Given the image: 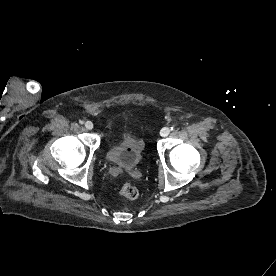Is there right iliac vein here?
Listing matches in <instances>:
<instances>
[{
	"label": "right iliac vein",
	"instance_id": "1",
	"mask_svg": "<svg viewBox=\"0 0 276 276\" xmlns=\"http://www.w3.org/2000/svg\"><path fill=\"white\" fill-rule=\"evenodd\" d=\"M84 125H85L86 129H88V130L93 129V123L90 120L86 121Z\"/></svg>",
	"mask_w": 276,
	"mask_h": 276
}]
</instances>
